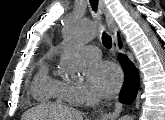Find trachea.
<instances>
[{
    "label": "trachea",
    "mask_w": 165,
    "mask_h": 120,
    "mask_svg": "<svg viewBox=\"0 0 165 120\" xmlns=\"http://www.w3.org/2000/svg\"><path fill=\"white\" fill-rule=\"evenodd\" d=\"M93 11H97V7H98V0H89ZM102 43L104 45V47H106L107 49H110L112 47V39L111 37L107 34V33H103L102 34Z\"/></svg>",
    "instance_id": "1"
}]
</instances>
